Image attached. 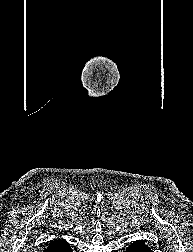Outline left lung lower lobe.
<instances>
[{
	"label": "left lung lower lobe",
	"mask_w": 193,
	"mask_h": 252,
	"mask_svg": "<svg viewBox=\"0 0 193 252\" xmlns=\"http://www.w3.org/2000/svg\"><path fill=\"white\" fill-rule=\"evenodd\" d=\"M126 252H152V250L141 241H134L131 245H129Z\"/></svg>",
	"instance_id": "0a47b994"
}]
</instances>
